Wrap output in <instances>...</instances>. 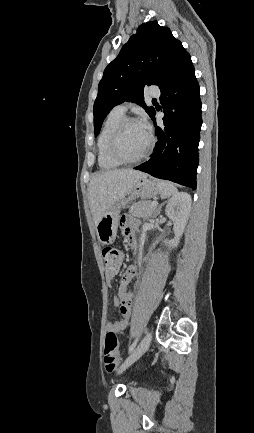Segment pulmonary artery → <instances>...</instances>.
Returning a JSON list of instances; mask_svg holds the SVG:
<instances>
[{"instance_id": "1", "label": "pulmonary artery", "mask_w": 254, "mask_h": 433, "mask_svg": "<svg viewBox=\"0 0 254 433\" xmlns=\"http://www.w3.org/2000/svg\"><path fill=\"white\" fill-rule=\"evenodd\" d=\"M147 93H148V95L155 96V97L160 96V90L155 86L149 87V89L147 90ZM126 110H127V104H125V103L119 104L116 107H114V109H113V111L121 113V114H124L126 112Z\"/></svg>"}]
</instances>
